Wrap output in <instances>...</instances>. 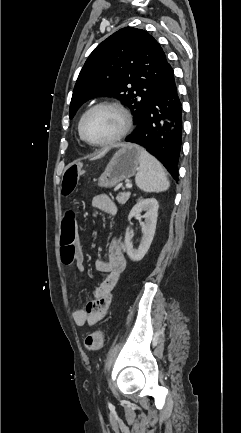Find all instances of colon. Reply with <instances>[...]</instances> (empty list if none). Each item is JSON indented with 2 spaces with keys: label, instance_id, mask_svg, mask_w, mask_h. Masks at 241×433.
I'll list each match as a JSON object with an SVG mask.
<instances>
[{
  "label": "colon",
  "instance_id": "colon-1",
  "mask_svg": "<svg viewBox=\"0 0 241 433\" xmlns=\"http://www.w3.org/2000/svg\"><path fill=\"white\" fill-rule=\"evenodd\" d=\"M63 178L59 183V195H74L79 185L80 177L87 176V169L82 168L81 161H70L68 165L63 168ZM79 220L78 212H62L59 217V226L62 228V236L60 240L61 245V261L65 265H71L75 262L76 251L81 250L78 236L79 231L76 221ZM105 340V331L99 329L86 336L84 344L89 352L98 350Z\"/></svg>",
  "mask_w": 241,
  "mask_h": 433
}]
</instances>
